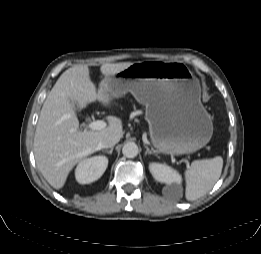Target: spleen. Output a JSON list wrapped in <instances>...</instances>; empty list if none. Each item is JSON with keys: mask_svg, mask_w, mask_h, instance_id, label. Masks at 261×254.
<instances>
[{"mask_svg": "<svg viewBox=\"0 0 261 254\" xmlns=\"http://www.w3.org/2000/svg\"><path fill=\"white\" fill-rule=\"evenodd\" d=\"M223 159L216 156L212 159L195 160L185 171V197L195 201L209 192L220 178Z\"/></svg>", "mask_w": 261, "mask_h": 254, "instance_id": "3e777b00", "label": "spleen"}]
</instances>
